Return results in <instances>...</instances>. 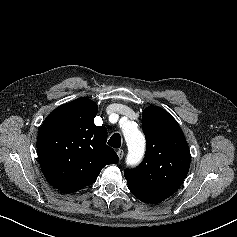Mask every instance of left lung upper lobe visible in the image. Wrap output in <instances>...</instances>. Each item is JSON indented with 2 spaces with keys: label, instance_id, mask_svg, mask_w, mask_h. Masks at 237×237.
<instances>
[{
  "label": "left lung upper lobe",
  "instance_id": "left-lung-upper-lobe-1",
  "mask_svg": "<svg viewBox=\"0 0 237 237\" xmlns=\"http://www.w3.org/2000/svg\"><path fill=\"white\" fill-rule=\"evenodd\" d=\"M146 138L143 162L124 171L128 188L145 203L170 197L184 181L190 167V150L177 121L164 109L149 106L142 114Z\"/></svg>",
  "mask_w": 237,
  "mask_h": 237
}]
</instances>
